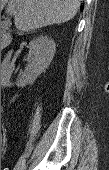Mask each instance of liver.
<instances>
[{"mask_svg":"<svg viewBox=\"0 0 109 170\" xmlns=\"http://www.w3.org/2000/svg\"><path fill=\"white\" fill-rule=\"evenodd\" d=\"M17 11L14 22L21 31H30L71 20L80 0H2Z\"/></svg>","mask_w":109,"mask_h":170,"instance_id":"obj_1","label":"liver"}]
</instances>
